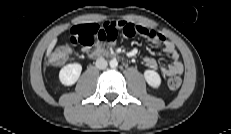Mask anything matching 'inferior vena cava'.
I'll return each instance as SVG.
<instances>
[{"label": "inferior vena cava", "mask_w": 231, "mask_h": 134, "mask_svg": "<svg viewBox=\"0 0 231 134\" xmlns=\"http://www.w3.org/2000/svg\"><path fill=\"white\" fill-rule=\"evenodd\" d=\"M98 69H105L108 65L107 61L104 58H98L95 63Z\"/></svg>", "instance_id": "inferior-vena-cava-1"}]
</instances>
